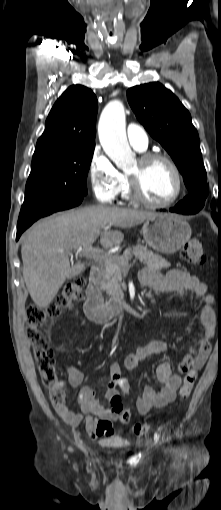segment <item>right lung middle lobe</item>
<instances>
[{"label":"right lung middle lobe","instance_id":"obj_1","mask_svg":"<svg viewBox=\"0 0 221 510\" xmlns=\"http://www.w3.org/2000/svg\"><path fill=\"white\" fill-rule=\"evenodd\" d=\"M93 153L94 146L33 158L23 206L46 211L82 199Z\"/></svg>","mask_w":221,"mask_h":510}]
</instances>
